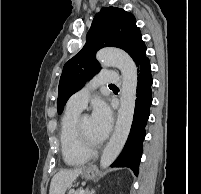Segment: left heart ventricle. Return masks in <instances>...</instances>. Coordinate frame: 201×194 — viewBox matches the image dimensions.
I'll list each match as a JSON object with an SVG mask.
<instances>
[{
  "mask_svg": "<svg viewBox=\"0 0 201 194\" xmlns=\"http://www.w3.org/2000/svg\"><path fill=\"white\" fill-rule=\"evenodd\" d=\"M82 130L87 139L92 143H97L99 140L95 137L93 132L92 121L90 117H83L81 120Z\"/></svg>",
  "mask_w": 201,
  "mask_h": 194,
  "instance_id": "obj_1",
  "label": "left heart ventricle"
}]
</instances>
